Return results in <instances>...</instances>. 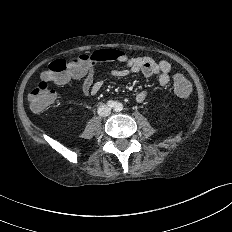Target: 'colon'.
Returning a JSON list of instances; mask_svg holds the SVG:
<instances>
[{
    "instance_id": "colon-1",
    "label": "colon",
    "mask_w": 232,
    "mask_h": 232,
    "mask_svg": "<svg viewBox=\"0 0 232 232\" xmlns=\"http://www.w3.org/2000/svg\"><path fill=\"white\" fill-rule=\"evenodd\" d=\"M111 58L112 53L110 51L98 50L91 54H81L69 59L54 60L42 74L41 81L30 92L31 109L35 112H41L55 101V91L50 89L48 81L57 82L70 72L81 73L90 66L108 61ZM174 91L180 97H187L190 94L191 85L182 74H176L174 77Z\"/></svg>"
}]
</instances>
